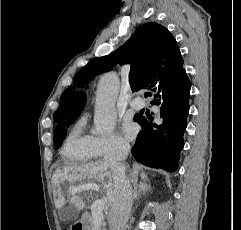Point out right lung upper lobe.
Here are the masks:
<instances>
[{
	"instance_id": "1",
	"label": "right lung upper lobe",
	"mask_w": 241,
	"mask_h": 230,
	"mask_svg": "<svg viewBox=\"0 0 241 230\" xmlns=\"http://www.w3.org/2000/svg\"><path fill=\"white\" fill-rule=\"evenodd\" d=\"M117 63L131 64L129 83L134 92L142 88L153 90L164 77L183 65V58L172 34L164 26L148 22L139 26L115 52L92 59L76 74L74 85L82 87L95 75L111 70ZM74 95L71 86L64 91L60 106L54 113L55 121L66 117Z\"/></svg>"
}]
</instances>
